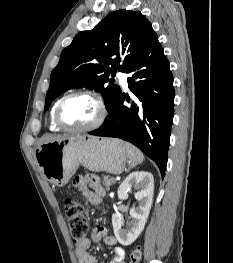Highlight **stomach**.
<instances>
[{"label":"stomach","mask_w":233,"mask_h":263,"mask_svg":"<svg viewBox=\"0 0 233 263\" xmlns=\"http://www.w3.org/2000/svg\"><path fill=\"white\" fill-rule=\"evenodd\" d=\"M35 157L46 180L57 187L67 184L80 164L90 171L119 174L128 161L122 140L87 135L44 143L36 149Z\"/></svg>","instance_id":"0dacf381"}]
</instances>
